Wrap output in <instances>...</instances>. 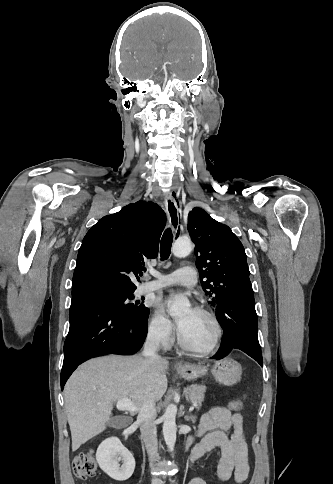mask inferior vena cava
Here are the masks:
<instances>
[{"label":"inferior vena cava","mask_w":333,"mask_h":484,"mask_svg":"<svg viewBox=\"0 0 333 484\" xmlns=\"http://www.w3.org/2000/svg\"><path fill=\"white\" fill-rule=\"evenodd\" d=\"M160 344V338L157 332H149L143 346V356L147 359H159L160 356L156 353ZM156 418L155 402L152 398L145 399L142 407L139 410L137 422L140 425L141 436L145 443L147 453L150 459V465L156 461L157 454V429L154 423ZM152 484H162L158 477L152 479Z\"/></svg>","instance_id":"obj_1"}]
</instances>
